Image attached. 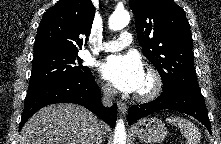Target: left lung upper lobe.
Instances as JSON below:
<instances>
[{
    "label": "left lung upper lobe",
    "mask_w": 221,
    "mask_h": 144,
    "mask_svg": "<svg viewBox=\"0 0 221 144\" xmlns=\"http://www.w3.org/2000/svg\"><path fill=\"white\" fill-rule=\"evenodd\" d=\"M129 5L142 51L158 70L163 91L179 86L200 90L184 10L173 0H129Z\"/></svg>",
    "instance_id": "left-lung-upper-lobe-1"
}]
</instances>
